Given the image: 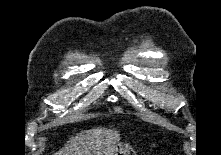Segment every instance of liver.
<instances>
[{
	"instance_id": "obj_1",
	"label": "liver",
	"mask_w": 221,
	"mask_h": 155,
	"mask_svg": "<svg viewBox=\"0 0 221 155\" xmlns=\"http://www.w3.org/2000/svg\"><path fill=\"white\" fill-rule=\"evenodd\" d=\"M117 130L95 128L82 131L70 138L54 155H111L119 143Z\"/></svg>"
}]
</instances>
